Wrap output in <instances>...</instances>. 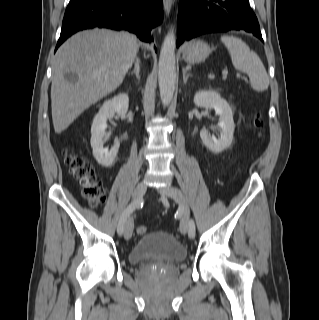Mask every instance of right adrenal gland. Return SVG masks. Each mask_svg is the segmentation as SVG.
<instances>
[{
	"mask_svg": "<svg viewBox=\"0 0 319 320\" xmlns=\"http://www.w3.org/2000/svg\"><path fill=\"white\" fill-rule=\"evenodd\" d=\"M130 74H135L138 81L140 80V60L138 58H136L134 70Z\"/></svg>",
	"mask_w": 319,
	"mask_h": 320,
	"instance_id": "right-adrenal-gland-1",
	"label": "right adrenal gland"
}]
</instances>
